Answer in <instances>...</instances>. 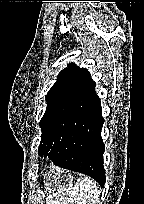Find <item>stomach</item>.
<instances>
[{
    "mask_svg": "<svg viewBox=\"0 0 144 204\" xmlns=\"http://www.w3.org/2000/svg\"><path fill=\"white\" fill-rule=\"evenodd\" d=\"M73 177L70 173L53 169L44 179L45 188L49 192H59L72 186Z\"/></svg>",
    "mask_w": 144,
    "mask_h": 204,
    "instance_id": "1",
    "label": "stomach"
}]
</instances>
